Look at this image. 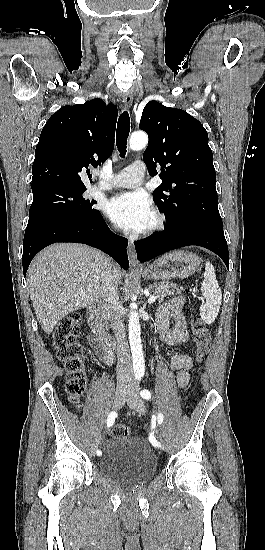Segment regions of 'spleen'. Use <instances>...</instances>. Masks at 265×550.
Returning a JSON list of instances; mask_svg holds the SVG:
<instances>
[{"label":"spleen","mask_w":265,"mask_h":550,"mask_svg":"<svg viewBox=\"0 0 265 550\" xmlns=\"http://www.w3.org/2000/svg\"><path fill=\"white\" fill-rule=\"evenodd\" d=\"M201 292L206 302L200 306V316L206 324L210 325L218 316L222 301V293L216 280L214 267L209 261L205 264L204 281L202 283Z\"/></svg>","instance_id":"obj_1"}]
</instances>
